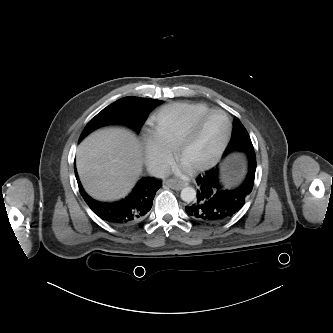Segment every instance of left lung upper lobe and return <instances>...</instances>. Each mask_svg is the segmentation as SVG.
<instances>
[{"mask_svg":"<svg viewBox=\"0 0 333 333\" xmlns=\"http://www.w3.org/2000/svg\"><path fill=\"white\" fill-rule=\"evenodd\" d=\"M232 152L255 154L249 134L246 131L245 127L238 120V118H235L234 120L233 136L228 147L225 150L224 156Z\"/></svg>","mask_w":333,"mask_h":333,"instance_id":"5c2ea615","label":"left lung upper lobe"}]
</instances>
